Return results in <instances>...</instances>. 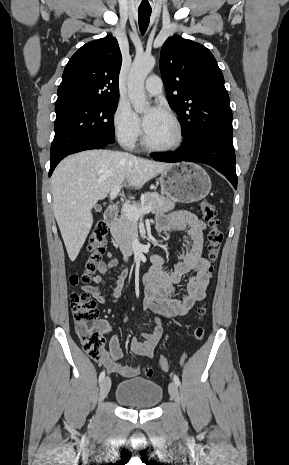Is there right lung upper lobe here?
Masks as SVG:
<instances>
[{
    "instance_id": "right-lung-upper-lobe-1",
    "label": "right lung upper lobe",
    "mask_w": 289,
    "mask_h": 465,
    "mask_svg": "<svg viewBox=\"0 0 289 465\" xmlns=\"http://www.w3.org/2000/svg\"><path fill=\"white\" fill-rule=\"evenodd\" d=\"M121 52L114 37L83 45L68 61L55 106L119 97Z\"/></svg>"
}]
</instances>
